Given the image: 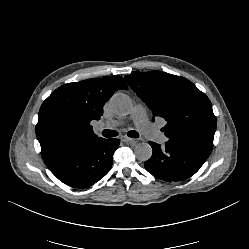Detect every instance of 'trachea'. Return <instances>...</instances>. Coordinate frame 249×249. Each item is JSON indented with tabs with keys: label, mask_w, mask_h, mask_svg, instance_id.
I'll list each match as a JSON object with an SVG mask.
<instances>
[{
	"label": "trachea",
	"mask_w": 249,
	"mask_h": 249,
	"mask_svg": "<svg viewBox=\"0 0 249 249\" xmlns=\"http://www.w3.org/2000/svg\"><path fill=\"white\" fill-rule=\"evenodd\" d=\"M102 135L106 138H111V137H115L118 135V133L114 130H109V129H105L102 131ZM127 135L131 138H138L140 137L139 133L135 130H131L127 133Z\"/></svg>",
	"instance_id": "obj_1"
}]
</instances>
